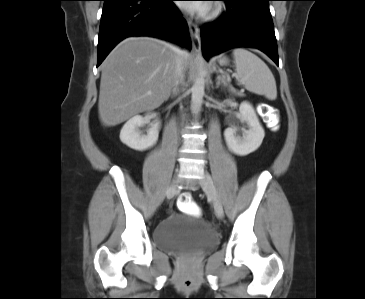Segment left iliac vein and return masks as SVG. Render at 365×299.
<instances>
[{"instance_id":"left-iliac-vein-1","label":"left iliac vein","mask_w":365,"mask_h":299,"mask_svg":"<svg viewBox=\"0 0 365 299\" xmlns=\"http://www.w3.org/2000/svg\"><path fill=\"white\" fill-rule=\"evenodd\" d=\"M200 184H201L204 192L211 199L216 216L218 218H223V216H224L223 206L218 197V194H217L216 188L213 184L212 178L206 171L203 172Z\"/></svg>"}]
</instances>
